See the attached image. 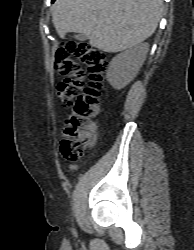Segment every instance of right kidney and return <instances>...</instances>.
Here are the masks:
<instances>
[{"mask_svg":"<svg viewBox=\"0 0 194 250\" xmlns=\"http://www.w3.org/2000/svg\"><path fill=\"white\" fill-rule=\"evenodd\" d=\"M148 50L149 44L141 43L112 59L107 70V80L114 89H123L136 77Z\"/></svg>","mask_w":194,"mask_h":250,"instance_id":"ca27d5eb","label":"right kidney"}]
</instances>
